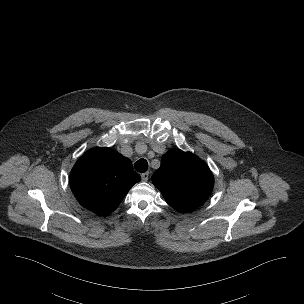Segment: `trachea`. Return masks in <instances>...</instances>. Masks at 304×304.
<instances>
[{"label":"trachea","instance_id":"obj_1","mask_svg":"<svg viewBox=\"0 0 304 304\" xmlns=\"http://www.w3.org/2000/svg\"><path fill=\"white\" fill-rule=\"evenodd\" d=\"M134 167L136 171L144 173L148 169V162L145 159H139L138 161H136Z\"/></svg>","mask_w":304,"mask_h":304}]
</instances>
